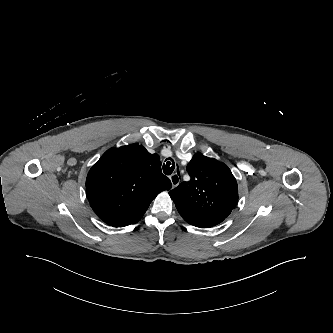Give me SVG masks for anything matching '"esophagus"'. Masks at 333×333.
<instances>
[{
    "instance_id": "34e87169",
    "label": "esophagus",
    "mask_w": 333,
    "mask_h": 333,
    "mask_svg": "<svg viewBox=\"0 0 333 333\" xmlns=\"http://www.w3.org/2000/svg\"><path fill=\"white\" fill-rule=\"evenodd\" d=\"M170 181H171V184H172V187L175 188L176 186L179 185L180 183V176H179V173H174L170 176Z\"/></svg>"
}]
</instances>
